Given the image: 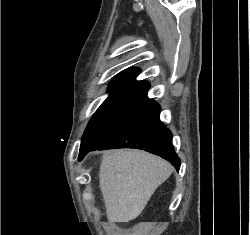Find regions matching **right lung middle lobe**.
<instances>
[{"instance_id": "obj_1", "label": "right lung middle lobe", "mask_w": 250, "mask_h": 235, "mask_svg": "<svg viewBox=\"0 0 250 235\" xmlns=\"http://www.w3.org/2000/svg\"><path fill=\"white\" fill-rule=\"evenodd\" d=\"M128 99L129 98L125 97L107 98L91 118L82 139H84L91 131H93L99 124H101L106 118H108L120 105L125 103Z\"/></svg>"}]
</instances>
